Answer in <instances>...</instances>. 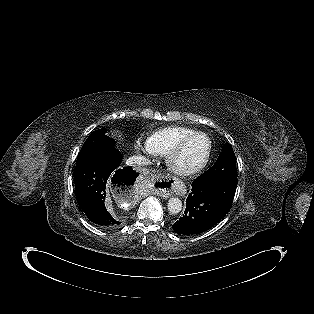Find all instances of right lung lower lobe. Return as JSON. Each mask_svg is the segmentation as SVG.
<instances>
[{"instance_id":"obj_1","label":"right lung lower lobe","mask_w":314,"mask_h":314,"mask_svg":"<svg viewBox=\"0 0 314 314\" xmlns=\"http://www.w3.org/2000/svg\"><path fill=\"white\" fill-rule=\"evenodd\" d=\"M121 161L120 151L112 147L74 170L77 202L88 219L101 228L113 229L121 224L105 207L106 183L117 181L130 189L138 177L131 167L122 168Z\"/></svg>"}]
</instances>
